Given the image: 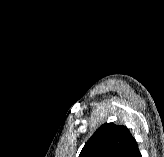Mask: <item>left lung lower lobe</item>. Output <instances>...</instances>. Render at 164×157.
Wrapping results in <instances>:
<instances>
[{"label": "left lung lower lobe", "instance_id": "obj_1", "mask_svg": "<svg viewBox=\"0 0 164 157\" xmlns=\"http://www.w3.org/2000/svg\"><path fill=\"white\" fill-rule=\"evenodd\" d=\"M127 157H142L140 152H139L137 142H135L133 144L129 154L127 155Z\"/></svg>", "mask_w": 164, "mask_h": 157}]
</instances>
